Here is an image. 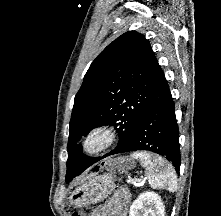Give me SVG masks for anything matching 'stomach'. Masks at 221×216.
Returning a JSON list of instances; mask_svg holds the SVG:
<instances>
[{"label":"stomach","mask_w":221,"mask_h":216,"mask_svg":"<svg viewBox=\"0 0 221 216\" xmlns=\"http://www.w3.org/2000/svg\"><path fill=\"white\" fill-rule=\"evenodd\" d=\"M115 187V178L111 174H91L72 191L69 202L75 208L98 203L111 195Z\"/></svg>","instance_id":"stomach-1"}]
</instances>
